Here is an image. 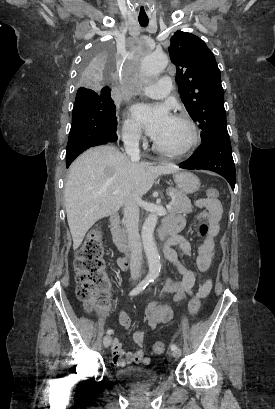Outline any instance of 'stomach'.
Listing matches in <instances>:
<instances>
[{
    "label": "stomach",
    "mask_w": 275,
    "mask_h": 409,
    "mask_svg": "<svg viewBox=\"0 0 275 409\" xmlns=\"http://www.w3.org/2000/svg\"><path fill=\"white\" fill-rule=\"evenodd\" d=\"M173 176L178 190L184 194L196 192L200 188V180L193 172H175Z\"/></svg>",
    "instance_id": "0dacf381"
}]
</instances>
